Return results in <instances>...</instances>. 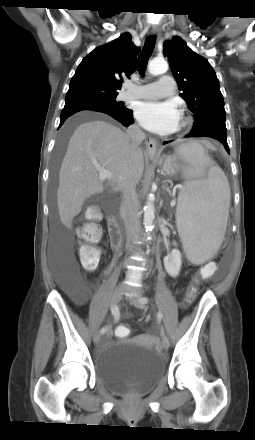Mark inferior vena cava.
Returning a JSON list of instances; mask_svg holds the SVG:
<instances>
[{"instance_id": "602c4592", "label": "inferior vena cava", "mask_w": 255, "mask_h": 440, "mask_svg": "<svg viewBox=\"0 0 255 440\" xmlns=\"http://www.w3.org/2000/svg\"><path fill=\"white\" fill-rule=\"evenodd\" d=\"M126 134L130 139V147L133 151L136 150L145 139L144 132L137 125H131L127 129ZM122 196L120 213L123 217L126 230V247L131 251L134 247L133 242L138 237L141 229L136 186L132 182L126 183L122 189Z\"/></svg>"}]
</instances>
